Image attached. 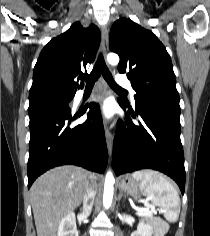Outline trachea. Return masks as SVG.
<instances>
[{"label":"trachea","mask_w":210,"mask_h":236,"mask_svg":"<svg viewBox=\"0 0 210 236\" xmlns=\"http://www.w3.org/2000/svg\"><path fill=\"white\" fill-rule=\"evenodd\" d=\"M101 74L112 89L118 92H127L115 83L110 71L105 64L103 56L100 53L92 72L90 74L81 76V79L86 81V88H92Z\"/></svg>","instance_id":"1"}]
</instances>
